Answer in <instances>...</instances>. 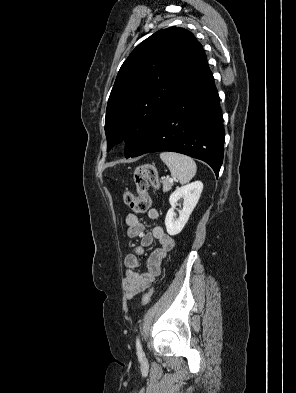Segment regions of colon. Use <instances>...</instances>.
<instances>
[{"mask_svg":"<svg viewBox=\"0 0 296 393\" xmlns=\"http://www.w3.org/2000/svg\"><path fill=\"white\" fill-rule=\"evenodd\" d=\"M134 182L137 189V195L130 191L123 193L124 202L136 214L145 213L150 209L151 198L149 187L159 188V180L156 169L151 164L138 166L134 172ZM153 295V289L147 291L142 297V304L147 305Z\"/></svg>","mask_w":296,"mask_h":393,"instance_id":"colon-1","label":"colon"}]
</instances>
